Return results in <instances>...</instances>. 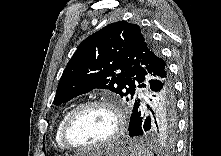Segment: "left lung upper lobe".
I'll use <instances>...</instances> for the list:
<instances>
[{
	"instance_id": "1",
	"label": "left lung upper lobe",
	"mask_w": 221,
	"mask_h": 156,
	"mask_svg": "<svg viewBox=\"0 0 221 156\" xmlns=\"http://www.w3.org/2000/svg\"><path fill=\"white\" fill-rule=\"evenodd\" d=\"M167 64L150 38L136 24L111 23L80 43L58 84L54 105L95 88L109 89L135 100L145 90L147 76Z\"/></svg>"
}]
</instances>
